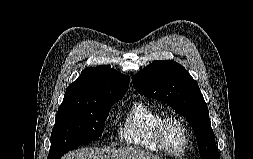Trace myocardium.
<instances>
[{"label":"myocardium","instance_id":"myocardium-1","mask_svg":"<svg viewBox=\"0 0 253 159\" xmlns=\"http://www.w3.org/2000/svg\"><path fill=\"white\" fill-rule=\"evenodd\" d=\"M170 122L177 123L181 127L182 132H183L184 145L179 152L171 151L166 146V143H165V139H164L165 129H166V126ZM189 139L190 138H189L188 127H187L186 123L184 122V120L177 115L163 116L155 128V140H156L157 145L160 147L161 150H163L165 153H167L168 155L173 156V157H180L185 153V151L187 150L188 145H189Z\"/></svg>","mask_w":253,"mask_h":159}]
</instances>
